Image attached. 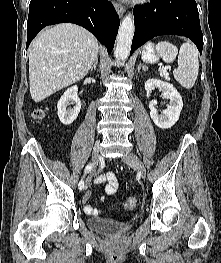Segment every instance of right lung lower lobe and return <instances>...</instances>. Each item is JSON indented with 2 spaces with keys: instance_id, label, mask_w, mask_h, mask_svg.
<instances>
[{
  "instance_id": "1",
  "label": "right lung lower lobe",
  "mask_w": 221,
  "mask_h": 263,
  "mask_svg": "<svg viewBox=\"0 0 221 263\" xmlns=\"http://www.w3.org/2000/svg\"><path fill=\"white\" fill-rule=\"evenodd\" d=\"M70 22L89 30L111 53L120 25L107 0H31L27 23V45L47 25Z\"/></svg>"
}]
</instances>
